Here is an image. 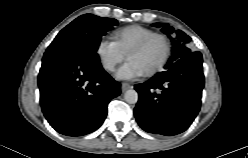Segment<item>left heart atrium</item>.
<instances>
[{"label": "left heart atrium", "mask_w": 248, "mask_h": 158, "mask_svg": "<svg viewBox=\"0 0 248 158\" xmlns=\"http://www.w3.org/2000/svg\"><path fill=\"white\" fill-rule=\"evenodd\" d=\"M144 73L136 62L128 60L117 70L116 77L121 80H136L143 76Z\"/></svg>", "instance_id": "obj_1"}]
</instances>
